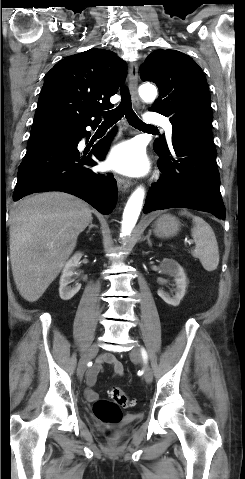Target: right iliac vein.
Masks as SVG:
<instances>
[{"label": "right iliac vein", "instance_id": "obj_1", "mask_svg": "<svg viewBox=\"0 0 245 479\" xmlns=\"http://www.w3.org/2000/svg\"><path fill=\"white\" fill-rule=\"evenodd\" d=\"M98 350H99V345L95 343L88 349L86 354L80 359L78 368H77V375L80 380L84 376L87 363L97 354Z\"/></svg>", "mask_w": 245, "mask_h": 479}]
</instances>
